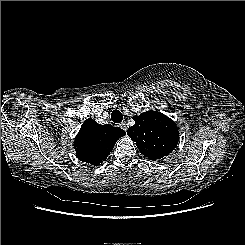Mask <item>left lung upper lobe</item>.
<instances>
[{
	"label": "left lung upper lobe",
	"instance_id": "5c2ea615",
	"mask_svg": "<svg viewBox=\"0 0 245 245\" xmlns=\"http://www.w3.org/2000/svg\"><path fill=\"white\" fill-rule=\"evenodd\" d=\"M133 119L135 125L128 129L127 134L145 157L154 161L162 159L177 146L178 128L163 113L150 110Z\"/></svg>",
	"mask_w": 245,
	"mask_h": 245
}]
</instances>
